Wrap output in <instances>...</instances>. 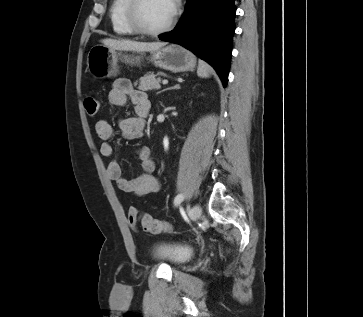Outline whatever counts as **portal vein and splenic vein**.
<instances>
[{
  "instance_id": "1",
  "label": "portal vein and splenic vein",
  "mask_w": 363,
  "mask_h": 317,
  "mask_svg": "<svg viewBox=\"0 0 363 317\" xmlns=\"http://www.w3.org/2000/svg\"><path fill=\"white\" fill-rule=\"evenodd\" d=\"M162 83H163L164 85H166V84L168 83V80H166V79H165V80H163V81H162Z\"/></svg>"
}]
</instances>
